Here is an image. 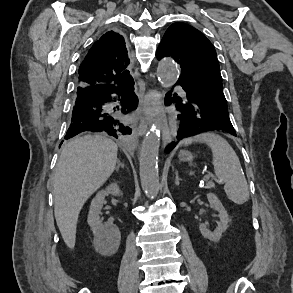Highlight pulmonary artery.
I'll use <instances>...</instances> for the list:
<instances>
[{
  "label": "pulmonary artery",
  "instance_id": "pulmonary-artery-1",
  "mask_svg": "<svg viewBox=\"0 0 293 293\" xmlns=\"http://www.w3.org/2000/svg\"><path fill=\"white\" fill-rule=\"evenodd\" d=\"M177 90H178V92H179V94L181 96H185L186 95L185 91L181 87H178Z\"/></svg>",
  "mask_w": 293,
  "mask_h": 293
}]
</instances>
